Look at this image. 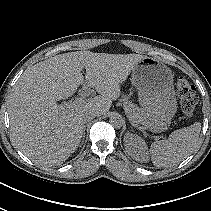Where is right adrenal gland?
<instances>
[{
  "label": "right adrenal gland",
  "mask_w": 211,
  "mask_h": 211,
  "mask_svg": "<svg viewBox=\"0 0 211 211\" xmlns=\"http://www.w3.org/2000/svg\"><path fill=\"white\" fill-rule=\"evenodd\" d=\"M85 127H86V126H84V129H83V137L85 136V130H86Z\"/></svg>",
  "instance_id": "right-adrenal-gland-1"
}]
</instances>
